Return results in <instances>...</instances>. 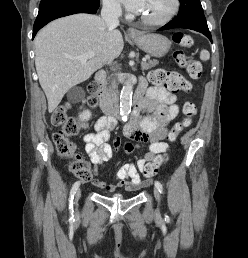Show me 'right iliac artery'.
I'll return each instance as SVG.
<instances>
[{
  "label": "right iliac artery",
  "mask_w": 248,
  "mask_h": 258,
  "mask_svg": "<svg viewBox=\"0 0 248 258\" xmlns=\"http://www.w3.org/2000/svg\"><path fill=\"white\" fill-rule=\"evenodd\" d=\"M80 182L77 181L74 183L71 192H70V197H69V210L71 213V218H73V199H74V194L76 193L77 189L79 188Z\"/></svg>",
  "instance_id": "obj_1"
}]
</instances>
